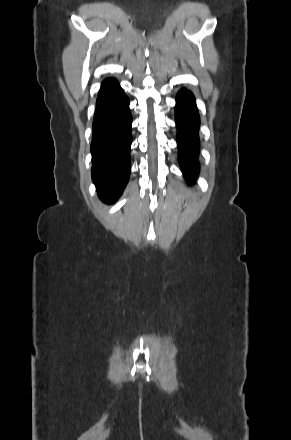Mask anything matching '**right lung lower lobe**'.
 I'll return each instance as SVG.
<instances>
[{
  "mask_svg": "<svg viewBox=\"0 0 291 440\" xmlns=\"http://www.w3.org/2000/svg\"><path fill=\"white\" fill-rule=\"evenodd\" d=\"M131 123L128 97L116 80H104L96 101L91 154L92 179L107 203L121 195L129 179Z\"/></svg>",
  "mask_w": 291,
  "mask_h": 440,
  "instance_id": "1",
  "label": "right lung lower lobe"
}]
</instances>
